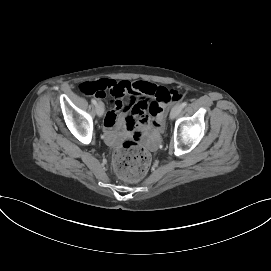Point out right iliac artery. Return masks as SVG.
Wrapping results in <instances>:
<instances>
[{"label":"right iliac artery","instance_id":"82829eb1","mask_svg":"<svg viewBox=\"0 0 271 271\" xmlns=\"http://www.w3.org/2000/svg\"><path fill=\"white\" fill-rule=\"evenodd\" d=\"M91 102H92V104H94V105H96V104H97V102H96V100H95V99H92V100H91Z\"/></svg>","mask_w":271,"mask_h":271}]
</instances>
